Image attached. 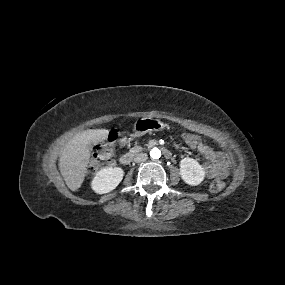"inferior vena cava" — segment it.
Segmentation results:
<instances>
[{
	"label": "inferior vena cava",
	"instance_id": "obj_1",
	"mask_svg": "<svg viewBox=\"0 0 285 285\" xmlns=\"http://www.w3.org/2000/svg\"><path fill=\"white\" fill-rule=\"evenodd\" d=\"M148 159V156L146 153H138L135 158H134V161L136 163H143L145 162L146 160Z\"/></svg>",
	"mask_w": 285,
	"mask_h": 285
}]
</instances>
